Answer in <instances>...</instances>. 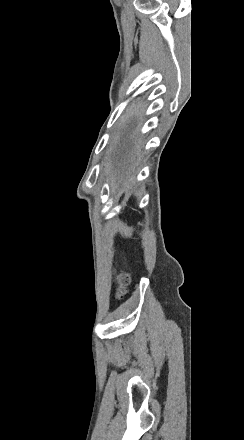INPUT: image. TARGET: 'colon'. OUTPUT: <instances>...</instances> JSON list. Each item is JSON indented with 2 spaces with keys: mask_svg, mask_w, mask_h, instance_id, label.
<instances>
[{
  "mask_svg": "<svg viewBox=\"0 0 244 440\" xmlns=\"http://www.w3.org/2000/svg\"><path fill=\"white\" fill-rule=\"evenodd\" d=\"M115 282L117 287V294L120 298H122L126 293V287L130 283V277L128 274L120 272L115 276Z\"/></svg>",
  "mask_w": 244,
  "mask_h": 440,
  "instance_id": "colon-1",
  "label": "colon"
}]
</instances>
